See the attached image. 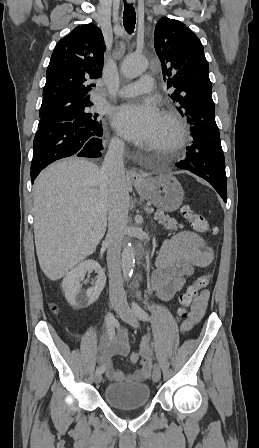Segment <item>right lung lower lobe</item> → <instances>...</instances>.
Masks as SVG:
<instances>
[{"label":"right lung lower lobe","instance_id":"98d812e1","mask_svg":"<svg viewBox=\"0 0 259 448\" xmlns=\"http://www.w3.org/2000/svg\"><path fill=\"white\" fill-rule=\"evenodd\" d=\"M102 125L94 129L76 126L73 122H62L38 129L33 142L31 182L50 163L77 155L100 157L103 150Z\"/></svg>","mask_w":259,"mask_h":448}]
</instances>
